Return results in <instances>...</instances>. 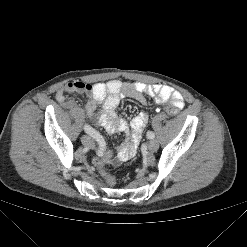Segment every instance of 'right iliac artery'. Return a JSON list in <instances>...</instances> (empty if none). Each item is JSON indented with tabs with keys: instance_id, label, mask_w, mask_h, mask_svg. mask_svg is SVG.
<instances>
[{
	"instance_id": "82829eb1",
	"label": "right iliac artery",
	"mask_w": 247,
	"mask_h": 247,
	"mask_svg": "<svg viewBox=\"0 0 247 247\" xmlns=\"http://www.w3.org/2000/svg\"><path fill=\"white\" fill-rule=\"evenodd\" d=\"M84 130L87 134H89L91 137L96 139V141L99 143L100 146H98L96 149L97 154L100 156L105 155L107 152V149L105 147V142L102 136L95 129H93L87 124L84 125Z\"/></svg>"
}]
</instances>
